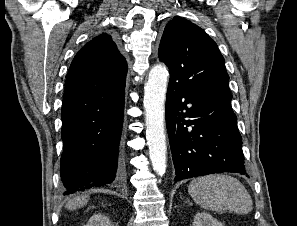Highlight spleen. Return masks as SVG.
Returning <instances> with one entry per match:
<instances>
[{
    "instance_id": "spleen-1",
    "label": "spleen",
    "mask_w": 297,
    "mask_h": 226,
    "mask_svg": "<svg viewBox=\"0 0 297 226\" xmlns=\"http://www.w3.org/2000/svg\"><path fill=\"white\" fill-rule=\"evenodd\" d=\"M188 192L197 205L210 211L230 210L247 214L253 208V201L244 185L229 175L215 174L193 179Z\"/></svg>"
}]
</instances>
